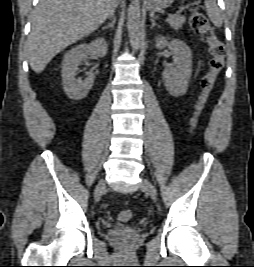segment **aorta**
<instances>
[{
    "label": "aorta",
    "instance_id": "obj_1",
    "mask_svg": "<svg viewBox=\"0 0 254 267\" xmlns=\"http://www.w3.org/2000/svg\"><path fill=\"white\" fill-rule=\"evenodd\" d=\"M127 29L131 47L138 50L142 43L140 0H132L127 13Z\"/></svg>",
    "mask_w": 254,
    "mask_h": 267
}]
</instances>
